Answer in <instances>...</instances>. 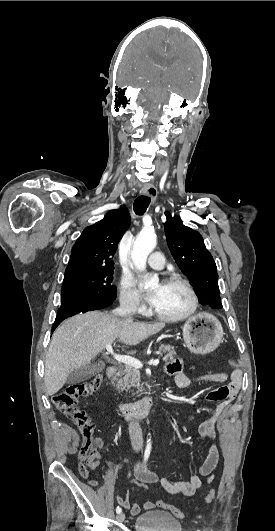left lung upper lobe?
Listing matches in <instances>:
<instances>
[{
    "instance_id": "1",
    "label": "left lung upper lobe",
    "mask_w": 275,
    "mask_h": 531,
    "mask_svg": "<svg viewBox=\"0 0 275 531\" xmlns=\"http://www.w3.org/2000/svg\"><path fill=\"white\" fill-rule=\"evenodd\" d=\"M168 247L182 272L189 278L201 304L221 308L215 261L206 249L201 234L182 224L177 216L165 213Z\"/></svg>"
}]
</instances>
